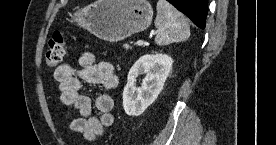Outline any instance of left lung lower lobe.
<instances>
[{
	"label": "left lung lower lobe",
	"instance_id": "1",
	"mask_svg": "<svg viewBox=\"0 0 276 145\" xmlns=\"http://www.w3.org/2000/svg\"><path fill=\"white\" fill-rule=\"evenodd\" d=\"M187 15L198 27L204 29L208 12V0H167Z\"/></svg>",
	"mask_w": 276,
	"mask_h": 145
}]
</instances>
